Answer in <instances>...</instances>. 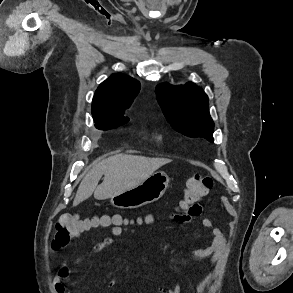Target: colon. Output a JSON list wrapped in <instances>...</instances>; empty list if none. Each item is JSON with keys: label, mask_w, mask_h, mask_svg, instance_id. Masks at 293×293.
Returning a JSON list of instances; mask_svg holds the SVG:
<instances>
[{"label": "colon", "mask_w": 293, "mask_h": 293, "mask_svg": "<svg viewBox=\"0 0 293 293\" xmlns=\"http://www.w3.org/2000/svg\"><path fill=\"white\" fill-rule=\"evenodd\" d=\"M214 180L211 176L196 174L189 178L183 191V197L179 209L191 210L213 187ZM125 220L120 216L102 215L92 219H80L78 215L62 214L55 224V236L52 247L60 249L68 246L75 238L85 230L93 226L123 228Z\"/></svg>", "instance_id": "1"}]
</instances>
